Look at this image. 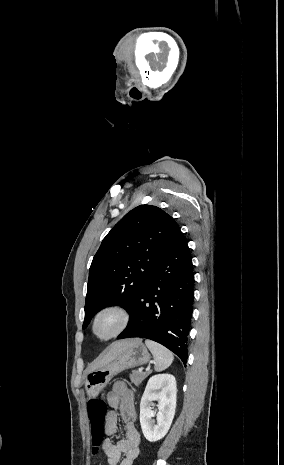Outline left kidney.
Segmentation results:
<instances>
[{
    "label": "left kidney",
    "instance_id": "1",
    "mask_svg": "<svg viewBox=\"0 0 284 465\" xmlns=\"http://www.w3.org/2000/svg\"><path fill=\"white\" fill-rule=\"evenodd\" d=\"M176 393L173 375H154L149 379L140 403V425L150 443L160 441L168 433L175 415ZM152 401H158V413L152 411L155 407ZM155 415L156 421L152 419Z\"/></svg>",
    "mask_w": 284,
    "mask_h": 465
}]
</instances>
